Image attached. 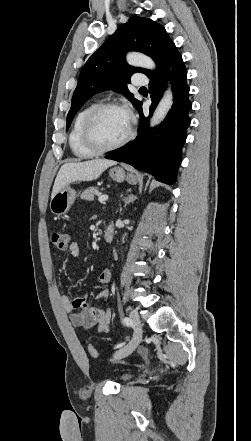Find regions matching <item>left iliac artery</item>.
<instances>
[{"mask_svg": "<svg viewBox=\"0 0 251 441\" xmlns=\"http://www.w3.org/2000/svg\"><path fill=\"white\" fill-rule=\"evenodd\" d=\"M123 322H124L125 325H127V326H129V327L133 325V324H132V321H131L130 318H128V317H124V318H123ZM124 344H125V342H123V343H119V344H117V345L115 346V348H120V347H122Z\"/></svg>", "mask_w": 251, "mask_h": 441, "instance_id": "obj_1", "label": "left iliac artery"}]
</instances>
